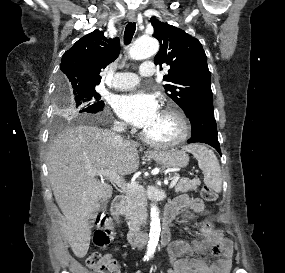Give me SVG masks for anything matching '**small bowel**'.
Instances as JSON below:
<instances>
[{
    "label": "small bowel",
    "mask_w": 285,
    "mask_h": 273,
    "mask_svg": "<svg viewBox=\"0 0 285 273\" xmlns=\"http://www.w3.org/2000/svg\"><path fill=\"white\" fill-rule=\"evenodd\" d=\"M184 208L201 214L207 210L201 199L186 195L170 203L166 210H174L177 214ZM199 235L197 243L177 240L170 245L168 255L171 266L167 273H229L233 254L231 242L222 236L211 221L202 222ZM205 252L210 257L218 258L208 264L205 258L198 256Z\"/></svg>",
    "instance_id": "small-bowel-1"
}]
</instances>
